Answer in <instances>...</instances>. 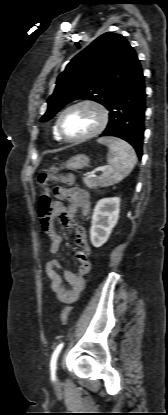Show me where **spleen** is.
Returning <instances> with one entry per match:
<instances>
[{
    "mask_svg": "<svg viewBox=\"0 0 168 415\" xmlns=\"http://www.w3.org/2000/svg\"><path fill=\"white\" fill-rule=\"evenodd\" d=\"M98 142L109 148L106 170L98 178L102 187H108L123 180L135 167L137 157L133 147L126 141L114 137H104Z\"/></svg>",
    "mask_w": 168,
    "mask_h": 415,
    "instance_id": "obj_1",
    "label": "spleen"
}]
</instances>
